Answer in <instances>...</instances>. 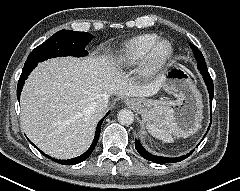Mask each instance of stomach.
<instances>
[{"label": "stomach", "instance_id": "obj_1", "mask_svg": "<svg viewBox=\"0 0 240 191\" xmlns=\"http://www.w3.org/2000/svg\"><path fill=\"white\" fill-rule=\"evenodd\" d=\"M162 78V88L176 100L131 99L133 107L146 123L159 115H168L178 131L193 133L200 126L203 108L196 85L185 70L177 65H171Z\"/></svg>", "mask_w": 240, "mask_h": 191}]
</instances>
